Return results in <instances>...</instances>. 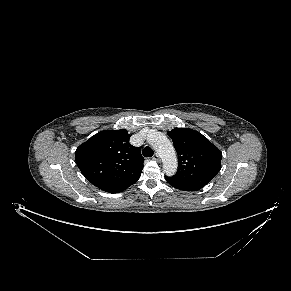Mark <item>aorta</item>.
Returning a JSON list of instances; mask_svg holds the SVG:
<instances>
[{
	"mask_svg": "<svg viewBox=\"0 0 291 291\" xmlns=\"http://www.w3.org/2000/svg\"><path fill=\"white\" fill-rule=\"evenodd\" d=\"M148 142L162 159L165 174L174 175L178 162L175 149L167 136L156 130H151L148 134Z\"/></svg>",
	"mask_w": 291,
	"mask_h": 291,
	"instance_id": "1",
	"label": "aorta"
}]
</instances>
